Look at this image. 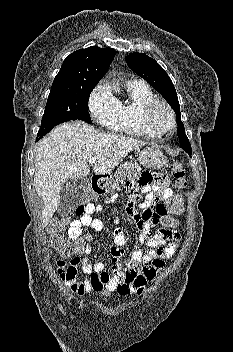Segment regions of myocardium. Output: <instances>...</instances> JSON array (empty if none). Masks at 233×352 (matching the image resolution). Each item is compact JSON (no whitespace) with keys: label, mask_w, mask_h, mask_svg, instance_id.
<instances>
[{"label":"myocardium","mask_w":233,"mask_h":352,"mask_svg":"<svg viewBox=\"0 0 233 352\" xmlns=\"http://www.w3.org/2000/svg\"><path fill=\"white\" fill-rule=\"evenodd\" d=\"M158 107H162L163 109H165L169 114L170 120H171L170 126L160 131L154 128V125L152 122L153 113ZM140 121L144 130L151 137H162L165 134L174 130L176 126V117H175L174 111L166 102L159 99L151 100L143 106L140 114Z\"/></svg>","instance_id":"f54148a6"}]
</instances>
